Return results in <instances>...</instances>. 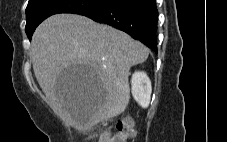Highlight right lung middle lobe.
I'll return each mask as SVG.
<instances>
[{
    "label": "right lung middle lobe",
    "instance_id": "1",
    "mask_svg": "<svg viewBox=\"0 0 227 142\" xmlns=\"http://www.w3.org/2000/svg\"><path fill=\"white\" fill-rule=\"evenodd\" d=\"M107 0H29L26 8V33L31 40L36 27L46 18L59 13H76L96 8Z\"/></svg>",
    "mask_w": 227,
    "mask_h": 142
}]
</instances>
